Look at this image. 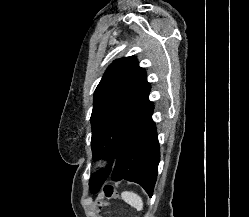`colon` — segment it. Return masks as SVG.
Returning a JSON list of instances; mask_svg holds the SVG:
<instances>
[{
	"mask_svg": "<svg viewBox=\"0 0 249 217\" xmlns=\"http://www.w3.org/2000/svg\"><path fill=\"white\" fill-rule=\"evenodd\" d=\"M103 195L106 199H113L118 196V193L112 186H107L104 189ZM99 207H101V204H99Z\"/></svg>",
	"mask_w": 249,
	"mask_h": 217,
	"instance_id": "colon-1",
	"label": "colon"
}]
</instances>
